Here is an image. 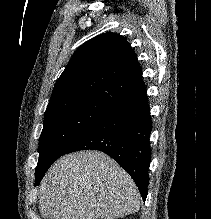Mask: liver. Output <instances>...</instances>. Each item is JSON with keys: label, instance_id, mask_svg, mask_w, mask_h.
Here are the masks:
<instances>
[{"label": "liver", "instance_id": "1", "mask_svg": "<svg viewBox=\"0 0 211 219\" xmlns=\"http://www.w3.org/2000/svg\"><path fill=\"white\" fill-rule=\"evenodd\" d=\"M41 216L47 219H117L137 212L139 192L132 178L99 151L60 157L41 181Z\"/></svg>", "mask_w": 211, "mask_h": 219}]
</instances>
